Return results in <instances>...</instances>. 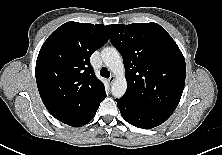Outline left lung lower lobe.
Here are the masks:
<instances>
[{
	"instance_id": "0a47b994",
	"label": "left lung lower lobe",
	"mask_w": 222,
	"mask_h": 155,
	"mask_svg": "<svg viewBox=\"0 0 222 155\" xmlns=\"http://www.w3.org/2000/svg\"><path fill=\"white\" fill-rule=\"evenodd\" d=\"M122 117L131 125L138 128H153L165 122L170 115L150 111L135 106L123 99H116Z\"/></svg>"
}]
</instances>
